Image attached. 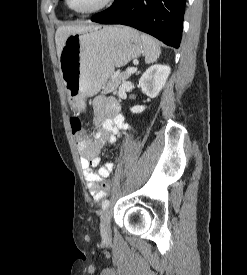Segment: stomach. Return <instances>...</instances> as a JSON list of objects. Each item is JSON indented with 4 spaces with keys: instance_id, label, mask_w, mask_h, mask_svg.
Segmentation results:
<instances>
[{
    "instance_id": "1",
    "label": "stomach",
    "mask_w": 247,
    "mask_h": 275,
    "mask_svg": "<svg viewBox=\"0 0 247 275\" xmlns=\"http://www.w3.org/2000/svg\"><path fill=\"white\" fill-rule=\"evenodd\" d=\"M144 51L139 33L125 26L96 27L68 36L59 58L71 109H85V98L96 95L114 73Z\"/></svg>"
}]
</instances>
